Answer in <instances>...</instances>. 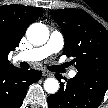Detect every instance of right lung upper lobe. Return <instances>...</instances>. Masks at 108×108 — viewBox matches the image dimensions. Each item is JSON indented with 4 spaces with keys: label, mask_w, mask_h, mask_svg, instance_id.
I'll return each mask as SVG.
<instances>
[{
    "label": "right lung upper lobe",
    "mask_w": 108,
    "mask_h": 108,
    "mask_svg": "<svg viewBox=\"0 0 108 108\" xmlns=\"http://www.w3.org/2000/svg\"><path fill=\"white\" fill-rule=\"evenodd\" d=\"M42 12L38 7L16 4L0 7V70L15 68L8 61V54L19 45L27 27Z\"/></svg>",
    "instance_id": "cb5924a9"
}]
</instances>
